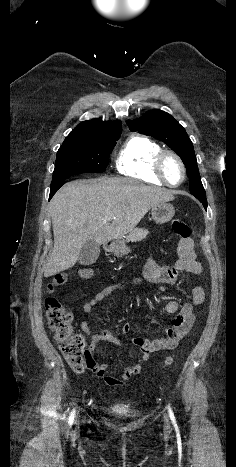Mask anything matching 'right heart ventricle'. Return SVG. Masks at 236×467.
<instances>
[{
    "instance_id": "right-heart-ventricle-1",
    "label": "right heart ventricle",
    "mask_w": 236,
    "mask_h": 467,
    "mask_svg": "<svg viewBox=\"0 0 236 467\" xmlns=\"http://www.w3.org/2000/svg\"><path fill=\"white\" fill-rule=\"evenodd\" d=\"M161 150L157 142L146 136H131L117 155L116 169L122 175L146 183L162 185L164 183L154 172V161Z\"/></svg>"
}]
</instances>
